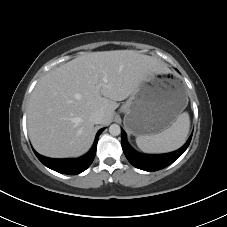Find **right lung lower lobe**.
I'll return each instance as SVG.
<instances>
[{
    "label": "right lung lower lobe",
    "mask_w": 227,
    "mask_h": 227,
    "mask_svg": "<svg viewBox=\"0 0 227 227\" xmlns=\"http://www.w3.org/2000/svg\"><path fill=\"white\" fill-rule=\"evenodd\" d=\"M103 129H100L96 135L94 144L90 151L86 153L84 156L76 159H52L44 157L34 151L37 158L48 168L55 170L59 173L68 174V175H76L84 170H86L94 160L97 148V142L99 135Z\"/></svg>",
    "instance_id": "1"
}]
</instances>
